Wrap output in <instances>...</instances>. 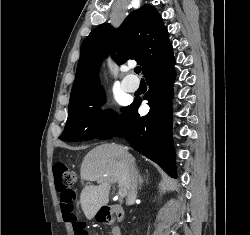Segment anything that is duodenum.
Instances as JSON below:
<instances>
[{
  "label": "duodenum",
  "mask_w": 250,
  "mask_h": 235,
  "mask_svg": "<svg viewBox=\"0 0 250 235\" xmlns=\"http://www.w3.org/2000/svg\"><path fill=\"white\" fill-rule=\"evenodd\" d=\"M123 219V210L120 205H110L101 212L100 221L111 224L112 235H121V229L116 225V221Z\"/></svg>",
  "instance_id": "duodenum-1"
}]
</instances>
